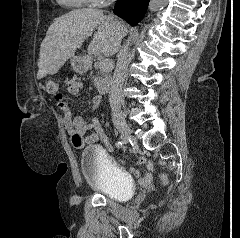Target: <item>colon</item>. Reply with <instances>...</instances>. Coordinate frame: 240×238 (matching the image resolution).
<instances>
[{
  "instance_id": "colon-1",
  "label": "colon",
  "mask_w": 240,
  "mask_h": 238,
  "mask_svg": "<svg viewBox=\"0 0 240 238\" xmlns=\"http://www.w3.org/2000/svg\"><path fill=\"white\" fill-rule=\"evenodd\" d=\"M71 84V83H70ZM44 90L51 95H54L57 99L61 98V94L59 93V87L57 83L53 80H46L44 83ZM74 141L76 143H80L81 138L80 136H75Z\"/></svg>"
}]
</instances>
